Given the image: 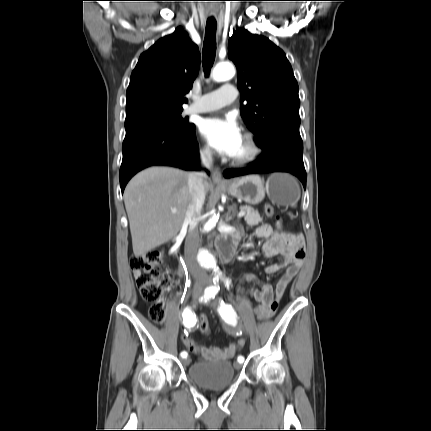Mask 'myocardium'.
<instances>
[{
    "label": "myocardium",
    "mask_w": 431,
    "mask_h": 431,
    "mask_svg": "<svg viewBox=\"0 0 431 431\" xmlns=\"http://www.w3.org/2000/svg\"><path fill=\"white\" fill-rule=\"evenodd\" d=\"M243 139L247 144V148H248L247 153L242 156H238V157L233 156L231 158L232 164L237 166L247 165L256 161L262 153L261 146L257 141L256 137L252 133L250 132L245 133L243 136Z\"/></svg>",
    "instance_id": "f54148a6"
}]
</instances>
